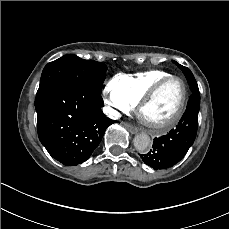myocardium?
I'll use <instances>...</instances> for the list:
<instances>
[{
	"instance_id": "f54148a6",
	"label": "myocardium",
	"mask_w": 229,
	"mask_h": 229,
	"mask_svg": "<svg viewBox=\"0 0 229 229\" xmlns=\"http://www.w3.org/2000/svg\"><path fill=\"white\" fill-rule=\"evenodd\" d=\"M174 79L181 80V82L184 85V88H185L184 105H183L181 111L179 112V114L175 118H173L172 120H170L166 123H163V124L153 123L152 121H150L148 119V116L146 114V111H145L146 104L150 101L152 96L162 86H165L167 83H172ZM190 99H191V95H190V91H189L188 85L186 83V80L182 76H179V75H170V76H167L165 79L159 78L158 80L152 82L149 85L148 89L144 92V95L141 96L140 102L137 103V108L140 109L141 119L147 127H149L150 129L154 130L157 133H163V132H166L167 130L171 129L172 127H174L182 119V117L184 116V114H185V112L189 106Z\"/></svg>"
}]
</instances>
